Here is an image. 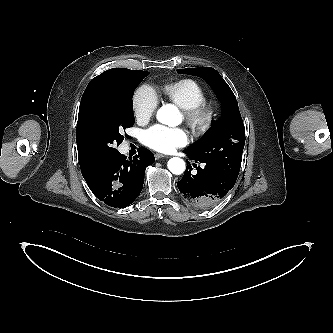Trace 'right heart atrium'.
<instances>
[{
    "label": "right heart atrium",
    "mask_w": 333,
    "mask_h": 333,
    "mask_svg": "<svg viewBox=\"0 0 333 333\" xmlns=\"http://www.w3.org/2000/svg\"><path fill=\"white\" fill-rule=\"evenodd\" d=\"M158 99L152 88L141 86L133 98V111L137 120L147 121L155 113Z\"/></svg>",
    "instance_id": "right-heart-atrium-1"
}]
</instances>
